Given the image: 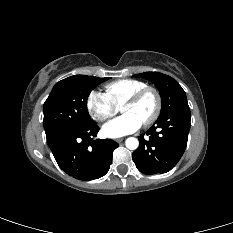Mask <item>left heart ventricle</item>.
Instances as JSON below:
<instances>
[{"mask_svg": "<svg viewBox=\"0 0 233 233\" xmlns=\"http://www.w3.org/2000/svg\"><path fill=\"white\" fill-rule=\"evenodd\" d=\"M156 100L152 93L146 94L136 104L125 106L121 109L123 114H132L141 123L148 120L155 111Z\"/></svg>", "mask_w": 233, "mask_h": 233, "instance_id": "obj_1", "label": "left heart ventricle"}]
</instances>
